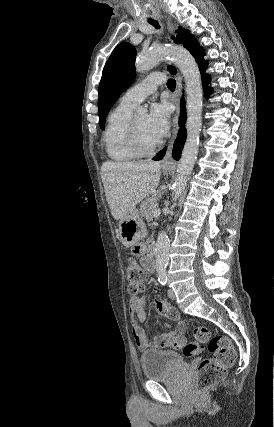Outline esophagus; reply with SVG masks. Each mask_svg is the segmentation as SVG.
Wrapping results in <instances>:
<instances>
[{
  "label": "esophagus",
  "instance_id": "1",
  "mask_svg": "<svg viewBox=\"0 0 274 427\" xmlns=\"http://www.w3.org/2000/svg\"><path fill=\"white\" fill-rule=\"evenodd\" d=\"M166 24H167V30L169 31V33L173 34L175 28H174L173 24L171 23V21L167 20ZM176 79H177L176 94L178 96H180L181 95L182 77L179 74H177ZM175 105H176V113H175L174 118H173L172 137L168 142V147H167V152L165 154V157L163 158V160H161V167H169L171 164H173L172 148H173V143L175 141V138L177 136V131H178V117H179V111H180L179 98L175 99Z\"/></svg>",
  "mask_w": 274,
  "mask_h": 427
}]
</instances>
